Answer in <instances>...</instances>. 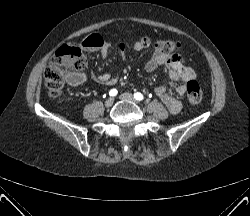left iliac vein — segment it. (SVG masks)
Wrapping results in <instances>:
<instances>
[{"label": "left iliac vein", "mask_w": 250, "mask_h": 216, "mask_svg": "<svg viewBox=\"0 0 250 216\" xmlns=\"http://www.w3.org/2000/svg\"><path fill=\"white\" fill-rule=\"evenodd\" d=\"M119 98L125 101L136 102L134 96L131 93H123L119 96Z\"/></svg>", "instance_id": "obj_1"}]
</instances>
